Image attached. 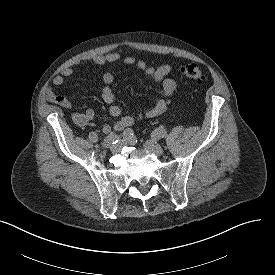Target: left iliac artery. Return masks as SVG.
Segmentation results:
<instances>
[{
    "label": "left iliac artery",
    "instance_id": "left-iliac-artery-1",
    "mask_svg": "<svg viewBox=\"0 0 275 275\" xmlns=\"http://www.w3.org/2000/svg\"><path fill=\"white\" fill-rule=\"evenodd\" d=\"M167 132L166 129L163 127H159L155 129L152 133V137L155 139H160V138H166Z\"/></svg>",
    "mask_w": 275,
    "mask_h": 275
}]
</instances>
